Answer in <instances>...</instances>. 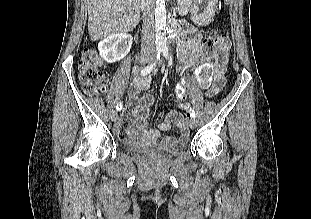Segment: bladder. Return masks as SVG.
<instances>
[{"instance_id": "obj_1", "label": "bladder", "mask_w": 311, "mask_h": 219, "mask_svg": "<svg viewBox=\"0 0 311 219\" xmlns=\"http://www.w3.org/2000/svg\"><path fill=\"white\" fill-rule=\"evenodd\" d=\"M124 146L130 152L143 153V154L152 152L150 149L158 150L152 144L147 145V146H141V145H137L136 142H126ZM183 148H184V144L178 143L172 147L159 149L158 152L166 156H171V155L178 154Z\"/></svg>"}]
</instances>
